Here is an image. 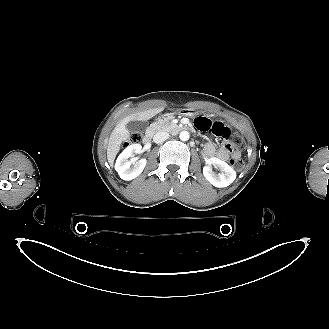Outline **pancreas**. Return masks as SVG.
<instances>
[{
	"label": "pancreas",
	"mask_w": 329,
	"mask_h": 329,
	"mask_svg": "<svg viewBox=\"0 0 329 329\" xmlns=\"http://www.w3.org/2000/svg\"><path fill=\"white\" fill-rule=\"evenodd\" d=\"M152 126L157 131H167L171 133H176L178 131V126L172 121V118L158 119Z\"/></svg>",
	"instance_id": "1"
}]
</instances>
